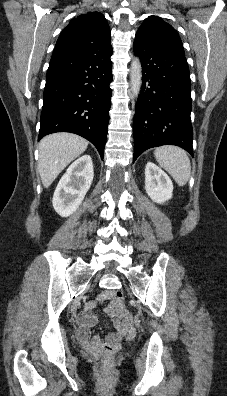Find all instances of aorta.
Returning <instances> with one entry per match:
<instances>
[{
    "mask_svg": "<svg viewBox=\"0 0 227 396\" xmlns=\"http://www.w3.org/2000/svg\"><path fill=\"white\" fill-rule=\"evenodd\" d=\"M130 84L132 96L137 98L142 85V67L138 57H134L131 62Z\"/></svg>",
    "mask_w": 227,
    "mask_h": 396,
    "instance_id": "obj_1",
    "label": "aorta"
}]
</instances>
